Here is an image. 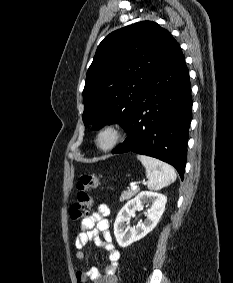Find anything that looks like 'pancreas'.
Instances as JSON below:
<instances>
[{
  "mask_svg": "<svg viewBox=\"0 0 233 283\" xmlns=\"http://www.w3.org/2000/svg\"><path fill=\"white\" fill-rule=\"evenodd\" d=\"M138 193V190H128V191H124L121 196H120V201H124V200H129L130 198H132L133 196H135Z\"/></svg>",
  "mask_w": 233,
  "mask_h": 283,
  "instance_id": "1",
  "label": "pancreas"
}]
</instances>
